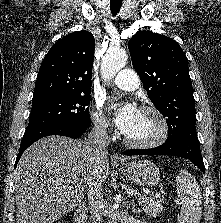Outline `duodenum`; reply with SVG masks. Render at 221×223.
Instances as JSON below:
<instances>
[{
	"instance_id": "obj_1",
	"label": "duodenum",
	"mask_w": 221,
	"mask_h": 223,
	"mask_svg": "<svg viewBox=\"0 0 221 223\" xmlns=\"http://www.w3.org/2000/svg\"><path fill=\"white\" fill-rule=\"evenodd\" d=\"M87 213L88 208L83 204L79 205L75 213V223H86Z\"/></svg>"
}]
</instances>
